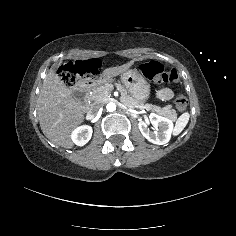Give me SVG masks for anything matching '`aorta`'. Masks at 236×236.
Masks as SVG:
<instances>
[{
  "label": "aorta",
  "instance_id": "762f6f07",
  "mask_svg": "<svg viewBox=\"0 0 236 236\" xmlns=\"http://www.w3.org/2000/svg\"><path fill=\"white\" fill-rule=\"evenodd\" d=\"M116 108H117V106H116V104L114 102H110V103L107 104V110L109 112L116 111Z\"/></svg>",
  "mask_w": 236,
  "mask_h": 236
}]
</instances>
